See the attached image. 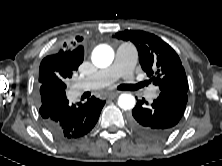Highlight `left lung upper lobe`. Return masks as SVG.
Here are the masks:
<instances>
[{
    "instance_id": "left-lung-upper-lobe-1",
    "label": "left lung upper lobe",
    "mask_w": 222,
    "mask_h": 166,
    "mask_svg": "<svg viewBox=\"0 0 222 166\" xmlns=\"http://www.w3.org/2000/svg\"><path fill=\"white\" fill-rule=\"evenodd\" d=\"M115 37L134 43L142 69L160 90L178 88L188 91V81L179 56L161 38L133 30L118 32Z\"/></svg>"
}]
</instances>
